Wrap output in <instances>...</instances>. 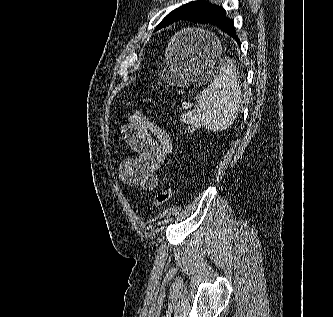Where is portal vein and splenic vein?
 <instances>
[{
	"instance_id": "obj_1",
	"label": "portal vein and splenic vein",
	"mask_w": 333,
	"mask_h": 317,
	"mask_svg": "<svg viewBox=\"0 0 333 317\" xmlns=\"http://www.w3.org/2000/svg\"><path fill=\"white\" fill-rule=\"evenodd\" d=\"M191 106H189V105H184L182 108L183 109H188V108H190Z\"/></svg>"
}]
</instances>
